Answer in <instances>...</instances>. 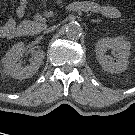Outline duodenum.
I'll list each match as a JSON object with an SVG mask.
<instances>
[{
	"label": "duodenum",
	"instance_id": "1",
	"mask_svg": "<svg viewBox=\"0 0 135 135\" xmlns=\"http://www.w3.org/2000/svg\"><path fill=\"white\" fill-rule=\"evenodd\" d=\"M18 34H23V35H25V34H26V31H25L24 29L20 28V29L17 30V35H18ZM17 35H16V36H17ZM14 37H15V36H14Z\"/></svg>",
	"mask_w": 135,
	"mask_h": 135
}]
</instances>
